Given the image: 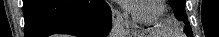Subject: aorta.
Masks as SVG:
<instances>
[{
    "label": "aorta",
    "instance_id": "aorta-1",
    "mask_svg": "<svg viewBox=\"0 0 219 37\" xmlns=\"http://www.w3.org/2000/svg\"><path fill=\"white\" fill-rule=\"evenodd\" d=\"M125 35H126V32L123 27V24L118 22L111 29L109 37H125Z\"/></svg>",
    "mask_w": 219,
    "mask_h": 37
}]
</instances>
